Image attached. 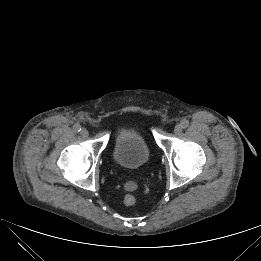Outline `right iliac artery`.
<instances>
[{"mask_svg":"<svg viewBox=\"0 0 261 261\" xmlns=\"http://www.w3.org/2000/svg\"><path fill=\"white\" fill-rule=\"evenodd\" d=\"M74 131L80 132L81 131V126L79 124H75L73 127Z\"/></svg>","mask_w":261,"mask_h":261,"instance_id":"obj_1","label":"right iliac artery"}]
</instances>
